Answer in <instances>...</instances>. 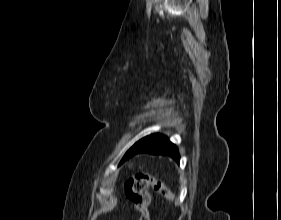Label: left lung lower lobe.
Instances as JSON below:
<instances>
[{"label":"left lung lower lobe","instance_id":"1","mask_svg":"<svg viewBox=\"0 0 281 220\" xmlns=\"http://www.w3.org/2000/svg\"><path fill=\"white\" fill-rule=\"evenodd\" d=\"M138 153L168 155L177 162H179L180 159V155L176 145L170 142L166 136L161 134H154V136L148 142L136 149L130 157Z\"/></svg>","mask_w":281,"mask_h":220}]
</instances>
